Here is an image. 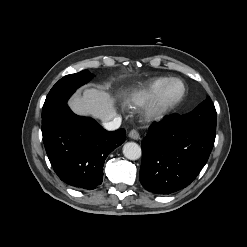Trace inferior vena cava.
Masks as SVG:
<instances>
[{
  "label": "inferior vena cava",
  "instance_id": "obj_1",
  "mask_svg": "<svg viewBox=\"0 0 247 247\" xmlns=\"http://www.w3.org/2000/svg\"><path fill=\"white\" fill-rule=\"evenodd\" d=\"M121 117L120 116H116L113 118L112 121H108V122H104V128L108 131H114L116 129H118L121 125Z\"/></svg>",
  "mask_w": 247,
  "mask_h": 247
}]
</instances>
